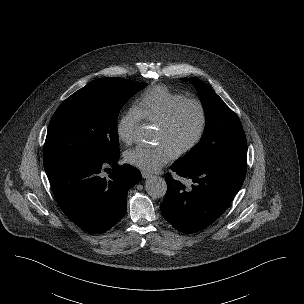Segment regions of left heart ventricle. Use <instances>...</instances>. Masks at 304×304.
<instances>
[{
	"label": "left heart ventricle",
	"mask_w": 304,
	"mask_h": 304,
	"mask_svg": "<svg viewBox=\"0 0 304 304\" xmlns=\"http://www.w3.org/2000/svg\"><path fill=\"white\" fill-rule=\"evenodd\" d=\"M198 124V110L194 105L188 104L180 110L169 130L164 131L159 128L157 143L168 145L175 151L193 138Z\"/></svg>",
	"instance_id": "1"
}]
</instances>
